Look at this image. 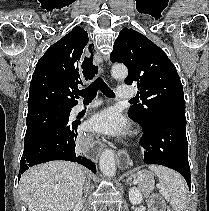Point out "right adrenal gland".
<instances>
[{"instance_id":"1","label":"right adrenal gland","mask_w":209,"mask_h":211,"mask_svg":"<svg viewBox=\"0 0 209 211\" xmlns=\"http://www.w3.org/2000/svg\"><path fill=\"white\" fill-rule=\"evenodd\" d=\"M89 188H90V179L89 178H87V181H86V191H85V197H86V195H87V193H88V191H89Z\"/></svg>"}]
</instances>
